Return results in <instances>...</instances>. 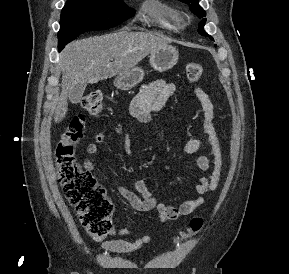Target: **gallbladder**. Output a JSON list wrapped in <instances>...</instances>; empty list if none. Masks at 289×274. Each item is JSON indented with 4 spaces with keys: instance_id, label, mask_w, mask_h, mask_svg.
Returning a JSON list of instances; mask_svg holds the SVG:
<instances>
[{
    "instance_id": "gallbladder-1",
    "label": "gallbladder",
    "mask_w": 289,
    "mask_h": 274,
    "mask_svg": "<svg viewBox=\"0 0 289 274\" xmlns=\"http://www.w3.org/2000/svg\"><path fill=\"white\" fill-rule=\"evenodd\" d=\"M85 88H86L85 84L76 85L70 93V96H69L70 101L72 103H78L82 98Z\"/></svg>"
}]
</instances>
